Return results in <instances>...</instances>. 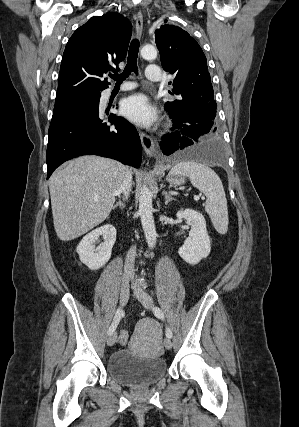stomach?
<instances>
[{
	"label": "stomach",
	"mask_w": 299,
	"mask_h": 427,
	"mask_svg": "<svg viewBox=\"0 0 299 427\" xmlns=\"http://www.w3.org/2000/svg\"><path fill=\"white\" fill-rule=\"evenodd\" d=\"M167 181L172 186H180V185H182V184L185 183V178L182 175H172V174H169L167 176Z\"/></svg>",
	"instance_id": "stomach-1"
}]
</instances>
